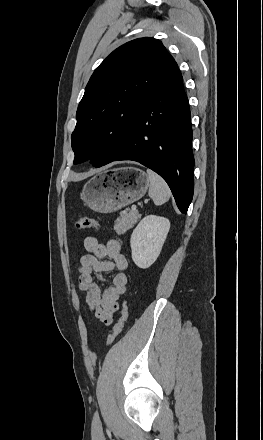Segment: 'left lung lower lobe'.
Listing matches in <instances>:
<instances>
[{
	"label": "left lung lower lobe",
	"mask_w": 263,
	"mask_h": 440,
	"mask_svg": "<svg viewBox=\"0 0 263 440\" xmlns=\"http://www.w3.org/2000/svg\"><path fill=\"white\" fill-rule=\"evenodd\" d=\"M192 137L188 98L174 60L138 113L129 143L110 162L132 160L152 169L169 185L179 210L187 213L194 191Z\"/></svg>",
	"instance_id": "1"
}]
</instances>
